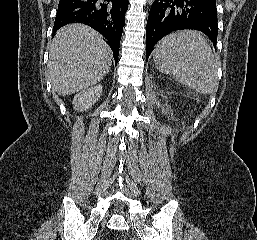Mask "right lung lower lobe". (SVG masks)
Here are the masks:
<instances>
[{"label":"right lung lower lobe","instance_id":"obj_1","mask_svg":"<svg viewBox=\"0 0 257 240\" xmlns=\"http://www.w3.org/2000/svg\"><path fill=\"white\" fill-rule=\"evenodd\" d=\"M127 8L128 0H60L53 34L64 25L83 22L107 39L117 63Z\"/></svg>","mask_w":257,"mask_h":240}]
</instances>
